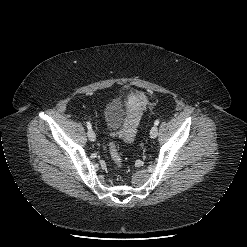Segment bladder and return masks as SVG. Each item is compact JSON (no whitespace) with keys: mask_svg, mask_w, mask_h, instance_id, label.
<instances>
[{"mask_svg":"<svg viewBox=\"0 0 247 247\" xmlns=\"http://www.w3.org/2000/svg\"><path fill=\"white\" fill-rule=\"evenodd\" d=\"M103 120L109 133L124 141L129 142L134 134V114L120 100L109 102L103 110Z\"/></svg>","mask_w":247,"mask_h":247,"instance_id":"obj_1","label":"bladder"}]
</instances>
